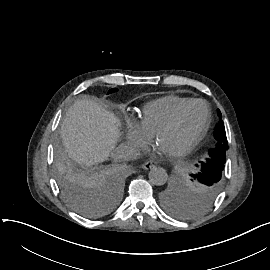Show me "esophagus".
Wrapping results in <instances>:
<instances>
[{"label": "esophagus", "instance_id": "1", "mask_svg": "<svg viewBox=\"0 0 270 270\" xmlns=\"http://www.w3.org/2000/svg\"><path fill=\"white\" fill-rule=\"evenodd\" d=\"M154 166H155V164L152 161H146L141 165V167L144 170H149V169L153 168Z\"/></svg>", "mask_w": 270, "mask_h": 270}]
</instances>
